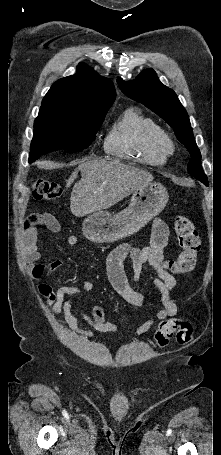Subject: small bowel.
<instances>
[{
	"label": "small bowel",
	"instance_id": "obj_1",
	"mask_svg": "<svg viewBox=\"0 0 221 455\" xmlns=\"http://www.w3.org/2000/svg\"><path fill=\"white\" fill-rule=\"evenodd\" d=\"M40 228L58 232L60 224L49 213H34L24 225L22 233L23 252L27 262L34 265L35 277H40L45 273L49 275L63 265L58 260L49 264H36L41 257L37 247V236ZM168 238V227L164 222L156 219L151 227L148 246L137 247L131 243H124L112 250L106 259V271L113 289L122 299L133 306H141L146 300V295L131 286L125 273V260L129 258L132 262L135 281L142 279L145 265H149L156 274L153 285L160 295L162 308L157 311L153 318L146 320L137 327L134 332L135 337L148 332L157 322L174 317L180 312L175 298L177 279L166 269L164 249L168 244ZM78 242L79 238L76 235H70L67 238V243L70 246H75ZM92 289L93 284L90 281L83 282L79 287L61 286L53 288L49 283H41L38 286V291L45 297V303L50 307L51 312L62 314L65 322L73 331L86 337H93L94 331L101 333L117 331L120 325L107 321L104 310L99 305L92 308L91 315L81 313L82 319L90 328L82 329L78 326L77 318L72 312L70 297L80 293H88Z\"/></svg>",
	"mask_w": 221,
	"mask_h": 455
}]
</instances>
